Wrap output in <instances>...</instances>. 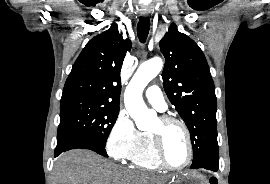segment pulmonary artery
I'll return each mask as SVG.
<instances>
[{
    "instance_id": "1",
    "label": "pulmonary artery",
    "mask_w": 270,
    "mask_h": 184,
    "mask_svg": "<svg viewBox=\"0 0 270 184\" xmlns=\"http://www.w3.org/2000/svg\"><path fill=\"white\" fill-rule=\"evenodd\" d=\"M145 96L148 102L158 111L163 112L167 109V104L158 86L153 85L148 87L145 91Z\"/></svg>"
}]
</instances>
